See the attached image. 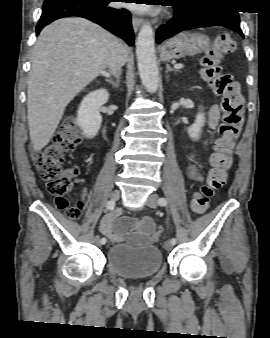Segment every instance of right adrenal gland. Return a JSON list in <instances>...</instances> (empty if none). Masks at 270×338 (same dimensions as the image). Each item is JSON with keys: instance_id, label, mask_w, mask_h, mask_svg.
Segmentation results:
<instances>
[{"instance_id": "right-adrenal-gland-1", "label": "right adrenal gland", "mask_w": 270, "mask_h": 338, "mask_svg": "<svg viewBox=\"0 0 270 338\" xmlns=\"http://www.w3.org/2000/svg\"><path fill=\"white\" fill-rule=\"evenodd\" d=\"M102 76H104V77L106 78V81H107L108 83H110V84L112 85V87L118 88L119 80H120L119 74L115 75V78H116L115 80H113L112 78H110V77L107 75V73H105V72L102 74Z\"/></svg>"}]
</instances>
